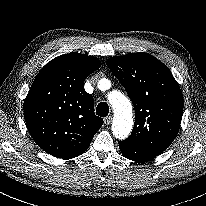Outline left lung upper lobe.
<instances>
[{"label": "left lung upper lobe", "instance_id": "5c2ea615", "mask_svg": "<svg viewBox=\"0 0 206 206\" xmlns=\"http://www.w3.org/2000/svg\"><path fill=\"white\" fill-rule=\"evenodd\" d=\"M107 65L135 108V124L123 142L162 153L175 139L183 114V95L171 71L148 53L114 56Z\"/></svg>", "mask_w": 206, "mask_h": 206}]
</instances>
